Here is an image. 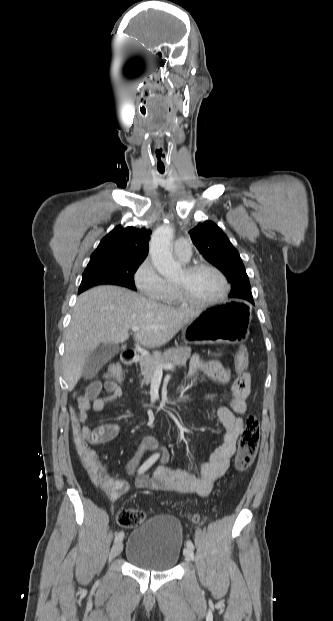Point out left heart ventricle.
Here are the masks:
<instances>
[{
  "label": "left heart ventricle",
  "instance_id": "obj_1",
  "mask_svg": "<svg viewBox=\"0 0 333 621\" xmlns=\"http://www.w3.org/2000/svg\"><path fill=\"white\" fill-rule=\"evenodd\" d=\"M173 282L182 285L191 297L199 300L213 299L223 290L221 279L210 270L188 274L183 269Z\"/></svg>",
  "mask_w": 333,
  "mask_h": 621
}]
</instances>
